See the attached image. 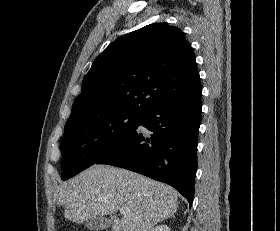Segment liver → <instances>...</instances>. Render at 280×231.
Instances as JSON below:
<instances>
[{"label":"liver","instance_id":"liver-1","mask_svg":"<svg viewBox=\"0 0 280 231\" xmlns=\"http://www.w3.org/2000/svg\"><path fill=\"white\" fill-rule=\"evenodd\" d=\"M56 203L66 207L67 219L83 223L99 215H111L112 231H149L177 211V191L140 173L91 165L59 187ZM126 209L122 217L113 215Z\"/></svg>","mask_w":280,"mask_h":231}]
</instances>
